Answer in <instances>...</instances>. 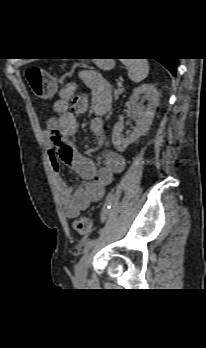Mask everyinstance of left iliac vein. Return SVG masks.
Listing matches in <instances>:
<instances>
[{"instance_id":"1","label":"left iliac vein","mask_w":206,"mask_h":348,"mask_svg":"<svg viewBox=\"0 0 206 348\" xmlns=\"http://www.w3.org/2000/svg\"><path fill=\"white\" fill-rule=\"evenodd\" d=\"M90 259H91V254L89 252H86L84 256L78 262L75 269V277L78 282H83L86 280Z\"/></svg>"}]
</instances>
